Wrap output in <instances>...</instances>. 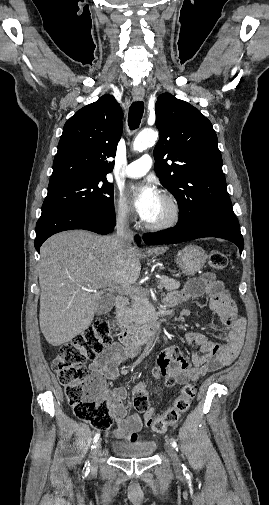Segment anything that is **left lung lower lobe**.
I'll use <instances>...</instances> for the list:
<instances>
[{
    "mask_svg": "<svg viewBox=\"0 0 269 505\" xmlns=\"http://www.w3.org/2000/svg\"><path fill=\"white\" fill-rule=\"evenodd\" d=\"M202 237H218L235 243L240 253L243 251V237L238 220L231 211H215L203 219L188 225H176L159 233H149L143 236L148 245L173 244Z\"/></svg>",
    "mask_w": 269,
    "mask_h": 505,
    "instance_id": "1",
    "label": "left lung lower lobe"
}]
</instances>
